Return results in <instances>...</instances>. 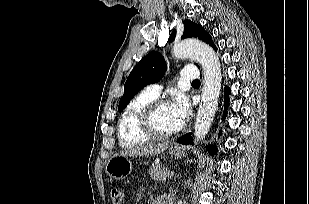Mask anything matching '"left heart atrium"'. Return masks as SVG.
<instances>
[{
  "instance_id": "39dd6f15",
  "label": "left heart atrium",
  "mask_w": 309,
  "mask_h": 204,
  "mask_svg": "<svg viewBox=\"0 0 309 204\" xmlns=\"http://www.w3.org/2000/svg\"><path fill=\"white\" fill-rule=\"evenodd\" d=\"M172 115L175 120L176 129H180L188 121L191 114V107L184 96H177L170 105Z\"/></svg>"
}]
</instances>
